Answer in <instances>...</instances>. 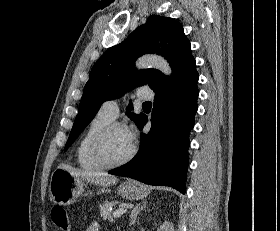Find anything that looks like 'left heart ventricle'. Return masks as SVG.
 Instances as JSON below:
<instances>
[{
	"label": "left heart ventricle",
	"instance_id": "obj_1",
	"mask_svg": "<svg viewBox=\"0 0 280 231\" xmlns=\"http://www.w3.org/2000/svg\"><path fill=\"white\" fill-rule=\"evenodd\" d=\"M131 149L124 138L123 128H114L107 136L103 154L110 161L122 159Z\"/></svg>",
	"mask_w": 280,
	"mask_h": 231
}]
</instances>
